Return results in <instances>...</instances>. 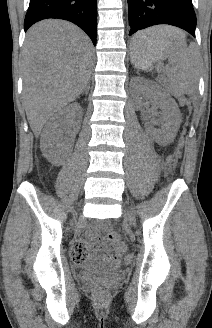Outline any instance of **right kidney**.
<instances>
[{"instance_id": "obj_1", "label": "right kidney", "mask_w": 212, "mask_h": 328, "mask_svg": "<svg viewBox=\"0 0 212 328\" xmlns=\"http://www.w3.org/2000/svg\"><path fill=\"white\" fill-rule=\"evenodd\" d=\"M83 110L79 103H72L58 113L54 114L41 136V144L45 152L58 149L63 140L66 145L80 129Z\"/></svg>"}]
</instances>
